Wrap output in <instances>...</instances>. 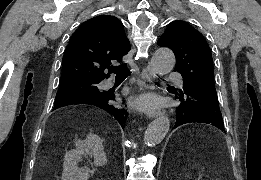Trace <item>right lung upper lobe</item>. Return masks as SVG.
Masks as SVG:
<instances>
[{"instance_id": "cb5924a9", "label": "right lung upper lobe", "mask_w": 261, "mask_h": 180, "mask_svg": "<svg viewBox=\"0 0 261 180\" xmlns=\"http://www.w3.org/2000/svg\"><path fill=\"white\" fill-rule=\"evenodd\" d=\"M130 51L122 23L114 16L101 15L84 22L70 38L63 56L60 81L108 78L104 70L112 60L121 61Z\"/></svg>"}]
</instances>
